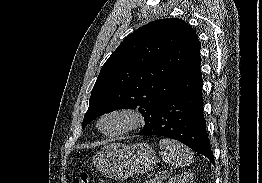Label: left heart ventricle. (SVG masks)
<instances>
[{
	"mask_svg": "<svg viewBox=\"0 0 262 183\" xmlns=\"http://www.w3.org/2000/svg\"><path fill=\"white\" fill-rule=\"evenodd\" d=\"M129 120L124 115L107 116L101 123V128L104 132L111 133L124 128Z\"/></svg>",
	"mask_w": 262,
	"mask_h": 183,
	"instance_id": "1",
	"label": "left heart ventricle"
}]
</instances>
